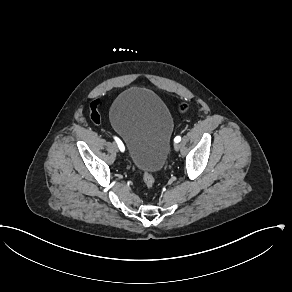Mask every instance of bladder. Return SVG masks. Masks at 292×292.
<instances>
[{"instance_id": "31cf9c89", "label": "bladder", "mask_w": 292, "mask_h": 292, "mask_svg": "<svg viewBox=\"0 0 292 292\" xmlns=\"http://www.w3.org/2000/svg\"><path fill=\"white\" fill-rule=\"evenodd\" d=\"M110 122L126 144L127 156L140 171H160L167 159L174 128L164 101L153 91L132 87L110 109Z\"/></svg>"}]
</instances>
